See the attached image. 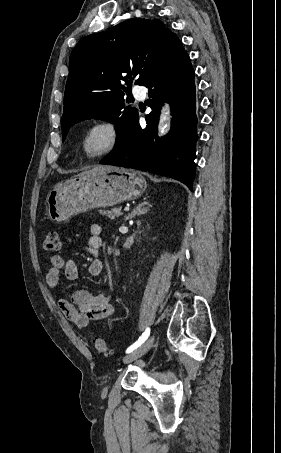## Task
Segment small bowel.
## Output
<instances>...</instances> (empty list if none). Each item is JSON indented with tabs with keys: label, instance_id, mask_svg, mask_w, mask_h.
<instances>
[{
	"label": "small bowel",
	"instance_id": "obj_1",
	"mask_svg": "<svg viewBox=\"0 0 281 453\" xmlns=\"http://www.w3.org/2000/svg\"><path fill=\"white\" fill-rule=\"evenodd\" d=\"M90 237L85 250L97 255L101 249L99 236L102 233L100 224H92L89 228ZM50 269L45 274L46 283L50 288L59 289L60 271L64 270L66 279L75 280L79 276L77 263L74 259H64L61 255L53 254L49 257ZM103 263L100 259H93L87 266V273L92 277H99L103 272ZM59 309L79 328H85L90 321L104 319L114 314L112 298L106 294H92L87 289L73 290L69 300L60 299Z\"/></svg>",
	"mask_w": 281,
	"mask_h": 453
}]
</instances>
